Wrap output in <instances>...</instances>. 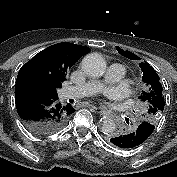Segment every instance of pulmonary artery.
Returning <instances> with one entry per match:
<instances>
[{
	"label": "pulmonary artery",
	"instance_id": "e3ab8cb5",
	"mask_svg": "<svg viewBox=\"0 0 177 177\" xmlns=\"http://www.w3.org/2000/svg\"><path fill=\"white\" fill-rule=\"evenodd\" d=\"M126 75V68L118 63L111 64L101 79H94L62 91L63 99H75L91 96L100 91L106 84L116 83Z\"/></svg>",
	"mask_w": 177,
	"mask_h": 177
}]
</instances>
